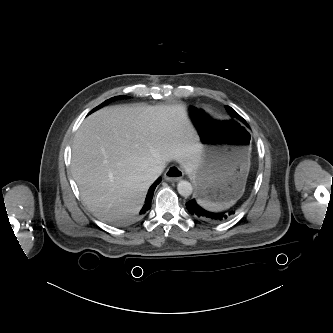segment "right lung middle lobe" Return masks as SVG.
<instances>
[{
	"label": "right lung middle lobe",
	"instance_id": "obj_1",
	"mask_svg": "<svg viewBox=\"0 0 333 333\" xmlns=\"http://www.w3.org/2000/svg\"><path fill=\"white\" fill-rule=\"evenodd\" d=\"M121 97H123V96L113 97V98H111V99H109V100H106L103 104H101V105H99L98 107L94 108L90 113H92V112H94L95 110L101 108L104 104L108 103V101H112V100H115V99H117V98H121ZM90 113H89V114H90Z\"/></svg>",
	"mask_w": 333,
	"mask_h": 333
}]
</instances>
